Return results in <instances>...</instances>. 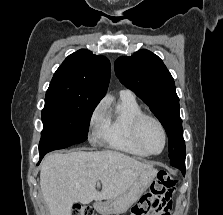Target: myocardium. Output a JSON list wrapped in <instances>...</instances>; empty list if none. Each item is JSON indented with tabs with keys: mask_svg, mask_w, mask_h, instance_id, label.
<instances>
[{
	"mask_svg": "<svg viewBox=\"0 0 223 215\" xmlns=\"http://www.w3.org/2000/svg\"><path fill=\"white\" fill-rule=\"evenodd\" d=\"M145 121L154 122L158 126V128L161 132L162 146H161V149L158 152H155V153L145 152L141 148L140 132H141V127H142V125ZM133 137H134V141H135L136 146L140 149L141 154L144 155V156H158L162 153V151L164 150L165 145H166V132H165V129H164L163 125L161 124V122L157 118H155L151 115H148V114H144V113L141 114L140 116H138L135 120V123H134V126H133Z\"/></svg>",
	"mask_w": 223,
	"mask_h": 215,
	"instance_id": "f54148a6",
	"label": "myocardium"
}]
</instances>
